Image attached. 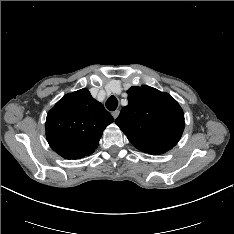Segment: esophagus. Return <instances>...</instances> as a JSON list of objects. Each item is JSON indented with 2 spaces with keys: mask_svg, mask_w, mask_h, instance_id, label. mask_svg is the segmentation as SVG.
Masks as SVG:
<instances>
[{
  "mask_svg": "<svg viewBox=\"0 0 234 234\" xmlns=\"http://www.w3.org/2000/svg\"><path fill=\"white\" fill-rule=\"evenodd\" d=\"M119 113H120V111H119V110H115V111H113V112H112V116H113V118H114V119H116V118L118 117Z\"/></svg>",
  "mask_w": 234,
  "mask_h": 234,
  "instance_id": "obj_1",
  "label": "esophagus"
}]
</instances>
